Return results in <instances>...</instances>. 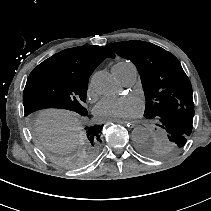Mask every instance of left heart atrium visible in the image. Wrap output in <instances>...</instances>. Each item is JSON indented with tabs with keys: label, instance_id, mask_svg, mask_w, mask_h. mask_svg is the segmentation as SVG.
Segmentation results:
<instances>
[{
	"label": "left heart atrium",
	"instance_id": "obj_1",
	"mask_svg": "<svg viewBox=\"0 0 211 211\" xmlns=\"http://www.w3.org/2000/svg\"><path fill=\"white\" fill-rule=\"evenodd\" d=\"M143 102L135 95L106 96L94 108L101 121H118L138 117L143 112Z\"/></svg>",
	"mask_w": 211,
	"mask_h": 211
}]
</instances>
